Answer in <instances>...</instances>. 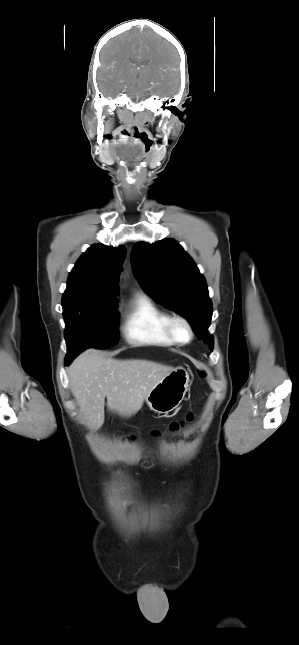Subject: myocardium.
Here are the masks:
<instances>
[{"instance_id":"f54148a6","label":"myocardium","mask_w":299,"mask_h":645,"mask_svg":"<svg viewBox=\"0 0 299 645\" xmlns=\"http://www.w3.org/2000/svg\"><path fill=\"white\" fill-rule=\"evenodd\" d=\"M178 324L185 327L187 331V338L182 339L178 336L175 329L176 325ZM164 330L166 335L172 340L174 344H187L191 342L194 337V330L190 321L186 317L178 313L168 314L165 320Z\"/></svg>"}]
</instances>
